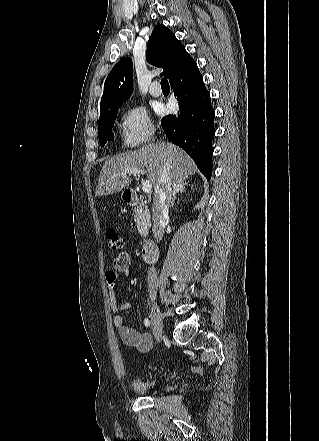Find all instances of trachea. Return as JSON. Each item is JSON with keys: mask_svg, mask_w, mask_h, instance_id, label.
Here are the masks:
<instances>
[{"mask_svg": "<svg viewBox=\"0 0 319 441\" xmlns=\"http://www.w3.org/2000/svg\"><path fill=\"white\" fill-rule=\"evenodd\" d=\"M161 87H162V88H168V87H169V83H168L167 78H163V79L161 80Z\"/></svg>", "mask_w": 319, "mask_h": 441, "instance_id": "1", "label": "trachea"}]
</instances>
